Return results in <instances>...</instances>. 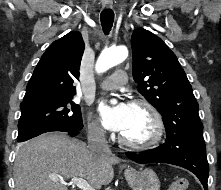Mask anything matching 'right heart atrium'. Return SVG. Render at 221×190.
I'll use <instances>...</instances> for the list:
<instances>
[{
	"mask_svg": "<svg viewBox=\"0 0 221 190\" xmlns=\"http://www.w3.org/2000/svg\"><path fill=\"white\" fill-rule=\"evenodd\" d=\"M87 131H88L89 137L92 140L99 141V142L104 141L105 131H104L103 127L101 126V124L97 120H95L93 118L89 119Z\"/></svg>",
	"mask_w": 221,
	"mask_h": 190,
	"instance_id": "right-heart-atrium-1",
	"label": "right heart atrium"
}]
</instances>
